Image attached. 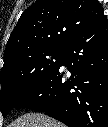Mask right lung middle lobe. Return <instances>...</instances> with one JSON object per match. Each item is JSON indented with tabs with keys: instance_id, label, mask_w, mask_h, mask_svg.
<instances>
[{
	"instance_id": "dd1d6c3e",
	"label": "right lung middle lobe",
	"mask_w": 108,
	"mask_h": 127,
	"mask_svg": "<svg viewBox=\"0 0 108 127\" xmlns=\"http://www.w3.org/2000/svg\"><path fill=\"white\" fill-rule=\"evenodd\" d=\"M65 50H50L16 56L1 71L0 109L5 117L60 65Z\"/></svg>"
}]
</instances>
